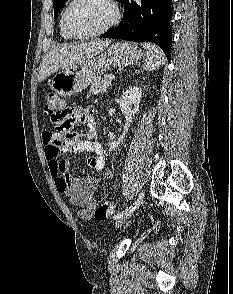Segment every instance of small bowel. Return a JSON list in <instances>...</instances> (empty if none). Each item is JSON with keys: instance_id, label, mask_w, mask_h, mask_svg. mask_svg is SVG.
<instances>
[{"instance_id": "obj_1", "label": "small bowel", "mask_w": 233, "mask_h": 294, "mask_svg": "<svg viewBox=\"0 0 233 294\" xmlns=\"http://www.w3.org/2000/svg\"><path fill=\"white\" fill-rule=\"evenodd\" d=\"M77 106V103L65 104V108L53 110V114L47 120V125L52 129L44 131L42 139L56 189L77 208L76 213L80 218L89 220L95 208L94 194L98 189V181L92 176H70L69 161L60 159L59 156L70 152H86L90 154L86 160L89 167L95 171H104L106 178L111 177V172L106 167L103 148L97 140L93 108L88 103H83V108ZM77 122L85 123L88 127L84 134L85 139H81L79 134L73 132L72 126H76Z\"/></svg>"}]
</instances>
